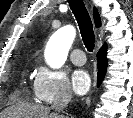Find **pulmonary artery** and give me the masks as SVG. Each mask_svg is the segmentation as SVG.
Returning a JSON list of instances; mask_svg holds the SVG:
<instances>
[{"label":"pulmonary artery","mask_w":133,"mask_h":118,"mask_svg":"<svg viewBox=\"0 0 133 118\" xmlns=\"http://www.w3.org/2000/svg\"><path fill=\"white\" fill-rule=\"evenodd\" d=\"M70 59L75 65H83L86 62L85 53L80 48H76L71 52Z\"/></svg>","instance_id":"1"}]
</instances>
